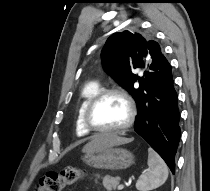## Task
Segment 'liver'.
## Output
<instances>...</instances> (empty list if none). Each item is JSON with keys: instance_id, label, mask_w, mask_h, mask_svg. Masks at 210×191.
<instances>
[{"instance_id": "obj_1", "label": "liver", "mask_w": 210, "mask_h": 191, "mask_svg": "<svg viewBox=\"0 0 210 191\" xmlns=\"http://www.w3.org/2000/svg\"><path fill=\"white\" fill-rule=\"evenodd\" d=\"M132 139L120 137L116 134H102L96 136L91 142L87 143L83 152H90L96 149H102L109 146H116L131 142Z\"/></svg>"}]
</instances>
